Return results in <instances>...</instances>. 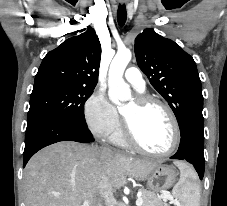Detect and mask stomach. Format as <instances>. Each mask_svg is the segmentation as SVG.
<instances>
[{"label": "stomach", "instance_id": "stomach-1", "mask_svg": "<svg viewBox=\"0 0 227 206\" xmlns=\"http://www.w3.org/2000/svg\"><path fill=\"white\" fill-rule=\"evenodd\" d=\"M177 172L168 165H157L147 176V184L154 191H166L176 183Z\"/></svg>", "mask_w": 227, "mask_h": 206}]
</instances>
